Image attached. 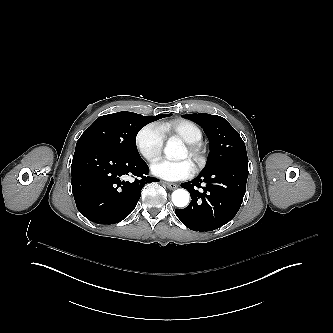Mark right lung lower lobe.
Here are the masks:
<instances>
[{"instance_id":"98d812e1","label":"right lung lower lobe","mask_w":333,"mask_h":333,"mask_svg":"<svg viewBox=\"0 0 333 333\" xmlns=\"http://www.w3.org/2000/svg\"><path fill=\"white\" fill-rule=\"evenodd\" d=\"M148 172L141 158L121 157L95 143L76 145L71 173L77 209L97 224L121 222L136 207L143 186L159 181ZM132 175L133 182L124 181Z\"/></svg>"}]
</instances>
